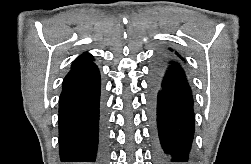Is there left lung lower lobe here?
I'll use <instances>...</instances> for the list:
<instances>
[{
    "mask_svg": "<svg viewBox=\"0 0 251 164\" xmlns=\"http://www.w3.org/2000/svg\"><path fill=\"white\" fill-rule=\"evenodd\" d=\"M148 107L157 162L190 161L194 136L193 97L178 59L163 55L154 65Z\"/></svg>",
    "mask_w": 251,
    "mask_h": 164,
    "instance_id": "left-lung-lower-lobe-1",
    "label": "left lung lower lobe"
}]
</instances>
